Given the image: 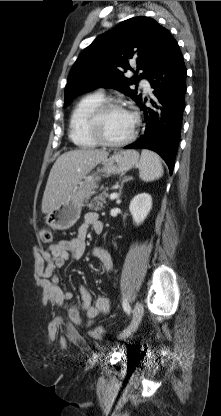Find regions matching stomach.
Instances as JSON below:
<instances>
[{
  "label": "stomach",
  "mask_w": 221,
  "mask_h": 416,
  "mask_svg": "<svg viewBox=\"0 0 221 416\" xmlns=\"http://www.w3.org/2000/svg\"><path fill=\"white\" fill-rule=\"evenodd\" d=\"M139 160V153L135 150H122L102 161L101 172L105 175L122 174L133 168ZM97 175L85 176L75 187L72 193L49 212L46 224L54 230H67L80 218L84 202L87 201L98 187Z\"/></svg>",
  "instance_id": "0dacf381"
}]
</instances>
